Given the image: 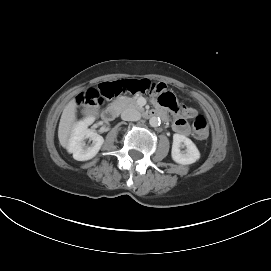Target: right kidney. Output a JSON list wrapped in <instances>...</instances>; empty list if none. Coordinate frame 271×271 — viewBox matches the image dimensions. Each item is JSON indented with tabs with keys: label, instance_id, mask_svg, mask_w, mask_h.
<instances>
[{
	"label": "right kidney",
	"instance_id": "1",
	"mask_svg": "<svg viewBox=\"0 0 271 271\" xmlns=\"http://www.w3.org/2000/svg\"><path fill=\"white\" fill-rule=\"evenodd\" d=\"M94 121L93 117H87L75 124L72 129V134L69 140L68 152L73 153V158L77 161H87L96 156L104 139L94 130L88 129V126ZM85 139L92 141L90 146H87Z\"/></svg>",
	"mask_w": 271,
	"mask_h": 271
}]
</instances>
